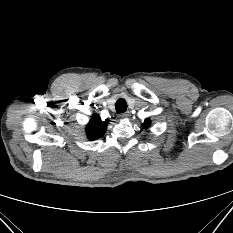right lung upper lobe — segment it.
<instances>
[{"label":"right lung upper lobe","mask_w":233,"mask_h":233,"mask_svg":"<svg viewBox=\"0 0 233 233\" xmlns=\"http://www.w3.org/2000/svg\"><path fill=\"white\" fill-rule=\"evenodd\" d=\"M107 121H102L99 115L95 114L86 127L87 137L95 140L102 137L107 129Z\"/></svg>","instance_id":"1"}]
</instances>
